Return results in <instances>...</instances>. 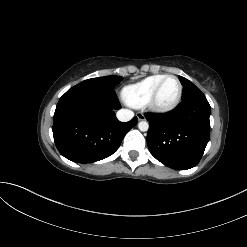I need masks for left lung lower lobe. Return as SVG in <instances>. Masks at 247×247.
<instances>
[{"instance_id":"1","label":"left lung lower lobe","mask_w":247,"mask_h":247,"mask_svg":"<svg viewBox=\"0 0 247 247\" xmlns=\"http://www.w3.org/2000/svg\"><path fill=\"white\" fill-rule=\"evenodd\" d=\"M210 105L197 92L165 114H145L149 121L147 144L164 165L184 170L196 166L210 136Z\"/></svg>"}]
</instances>
